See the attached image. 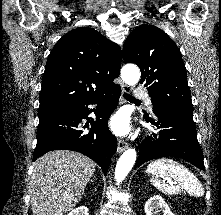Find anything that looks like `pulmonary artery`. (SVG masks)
Returning a JSON list of instances; mask_svg holds the SVG:
<instances>
[{
    "label": "pulmonary artery",
    "mask_w": 221,
    "mask_h": 215,
    "mask_svg": "<svg viewBox=\"0 0 221 215\" xmlns=\"http://www.w3.org/2000/svg\"><path fill=\"white\" fill-rule=\"evenodd\" d=\"M135 97L137 99H145L146 100V103L148 105V108L151 110L152 109V103H151V100L150 98L148 97V95L146 94V92L142 91V90H136L135 91Z\"/></svg>",
    "instance_id": "e3ab8cb5"
}]
</instances>
